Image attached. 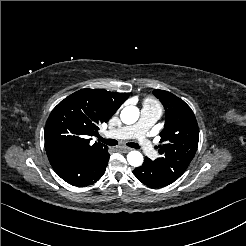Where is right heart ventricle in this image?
I'll return each mask as SVG.
<instances>
[{
  "label": "right heart ventricle",
  "mask_w": 246,
  "mask_h": 246,
  "mask_svg": "<svg viewBox=\"0 0 246 246\" xmlns=\"http://www.w3.org/2000/svg\"><path fill=\"white\" fill-rule=\"evenodd\" d=\"M143 108H156L161 111L160 104L153 98H145L143 101Z\"/></svg>",
  "instance_id": "obj_1"
}]
</instances>
